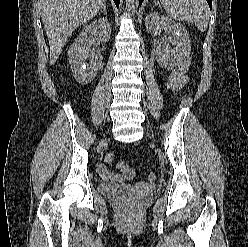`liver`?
<instances>
[{"label":"liver","mask_w":248,"mask_h":247,"mask_svg":"<svg viewBox=\"0 0 248 247\" xmlns=\"http://www.w3.org/2000/svg\"><path fill=\"white\" fill-rule=\"evenodd\" d=\"M105 0H39L50 46V65L62 52L73 31L92 19Z\"/></svg>","instance_id":"1"}]
</instances>
